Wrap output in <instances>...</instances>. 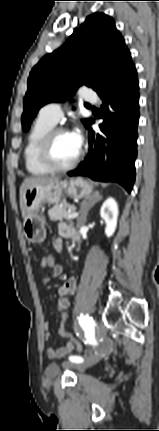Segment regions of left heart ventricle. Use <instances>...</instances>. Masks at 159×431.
Returning <instances> with one entry per match:
<instances>
[{
	"label": "left heart ventricle",
	"instance_id": "left-heart-ventricle-1",
	"mask_svg": "<svg viewBox=\"0 0 159 431\" xmlns=\"http://www.w3.org/2000/svg\"><path fill=\"white\" fill-rule=\"evenodd\" d=\"M79 150L80 149H78L72 141L69 133H61L54 140L52 155L58 164L66 165L76 158Z\"/></svg>",
	"mask_w": 159,
	"mask_h": 431
}]
</instances>
